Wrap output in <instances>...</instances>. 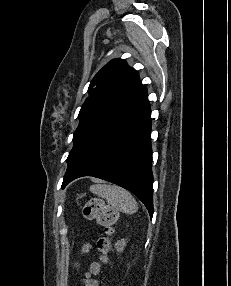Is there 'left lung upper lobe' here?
Returning <instances> with one entry per match:
<instances>
[{"label": "left lung upper lobe", "mask_w": 231, "mask_h": 286, "mask_svg": "<svg viewBox=\"0 0 231 286\" xmlns=\"http://www.w3.org/2000/svg\"><path fill=\"white\" fill-rule=\"evenodd\" d=\"M141 86L138 73L124 60L114 59L106 64L95 75L88 88L89 97L79 112L80 122L73 135V148L91 128Z\"/></svg>", "instance_id": "5c2ea615"}]
</instances>
